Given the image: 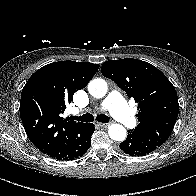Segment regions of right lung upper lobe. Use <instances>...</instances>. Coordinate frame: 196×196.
<instances>
[{"mask_svg":"<svg viewBox=\"0 0 196 196\" xmlns=\"http://www.w3.org/2000/svg\"><path fill=\"white\" fill-rule=\"evenodd\" d=\"M98 68L89 62H54L37 70L25 84L20 101L22 123L30 141L44 154L85 124L61 115L74 93L88 84Z\"/></svg>","mask_w":196,"mask_h":196,"instance_id":"cb5924a9","label":"right lung upper lobe"}]
</instances>
